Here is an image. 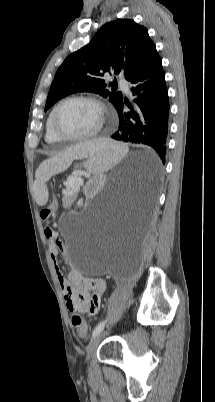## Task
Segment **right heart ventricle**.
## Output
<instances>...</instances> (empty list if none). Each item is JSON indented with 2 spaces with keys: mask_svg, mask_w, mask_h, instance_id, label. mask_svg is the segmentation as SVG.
<instances>
[{
  "mask_svg": "<svg viewBox=\"0 0 215 402\" xmlns=\"http://www.w3.org/2000/svg\"><path fill=\"white\" fill-rule=\"evenodd\" d=\"M52 112V111H51ZM51 112H50V114H49V116H48V118H47V121H46V131H45V139H46V141L48 142V143H59V142H61L62 140L60 139V138H58L55 134H54V132H53V130H52V127H51Z\"/></svg>",
  "mask_w": 215,
  "mask_h": 402,
  "instance_id": "e07e8e85",
  "label": "right heart ventricle"
}]
</instances>
